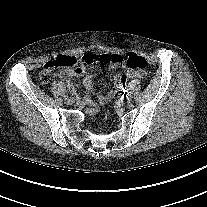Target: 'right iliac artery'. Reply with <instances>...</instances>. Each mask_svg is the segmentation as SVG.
<instances>
[{
  "instance_id": "obj_1",
  "label": "right iliac artery",
  "mask_w": 207,
  "mask_h": 207,
  "mask_svg": "<svg viewBox=\"0 0 207 207\" xmlns=\"http://www.w3.org/2000/svg\"><path fill=\"white\" fill-rule=\"evenodd\" d=\"M68 97H69L68 95H64V96H63V98H64L65 100H67Z\"/></svg>"
}]
</instances>
